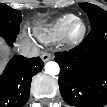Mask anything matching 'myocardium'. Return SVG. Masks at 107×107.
<instances>
[{
    "instance_id": "1",
    "label": "myocardium",
    "mask_w": 107,
    "mask_h": 107,
    "mask_svg": "<svg viewBox=\"0 0 107 107\" xmlns=\"http://www.w3.org/2000/svg\"><path fill=\"white\" fill-rule=\"evenodd\" d=\"M86 30L87 27L84 21L78 17H75L67 27L64 40L70 45H76L83 40Z\"/></svg>"
}]
</instances>
